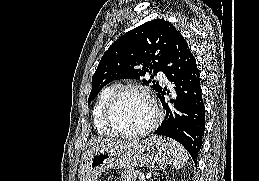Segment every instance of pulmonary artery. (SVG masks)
Returning <instances> with one entry per match:
<instances>
[{
    "mask_svg": "<svg viewBox=\"0 0 259 181\" xmlns=\"http://www.w3.org/2000/svg\"><path fill=\"white\" fill-rule=\"evenodd\" d=\"M157 77H158V79H159L160 81H162V82H165V83L168 82L166 76H165L163 73H161V72L158 73Z\"/></svg>",
    "mask_w": 259,
    "mask_h": 181,
    "instance_id": "obj_1",
    "label": "pulmonary artery"
}]
</instances>
